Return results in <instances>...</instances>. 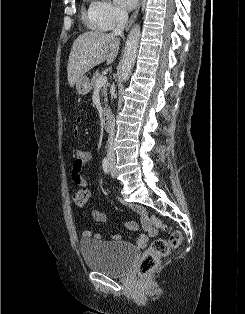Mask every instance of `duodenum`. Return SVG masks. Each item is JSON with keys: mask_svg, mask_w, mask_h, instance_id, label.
Masks as SVG:
<instances>
[{"mask_svg": "<svg viewBox=\"0 0 245 314\" xmlns=\"http://www.w3.org/2000/svg\"><path fill=\"white\" fill-rule=\"evenodd\" d=\"M103 127L105 128V130H110L112 127V112L109 108L105 110L103 116Z\"/></svg>", "mask_w": 245, "mask_h": 314, "instance_id": "410a0bca", "label": "duodenum"}]
</instances>
